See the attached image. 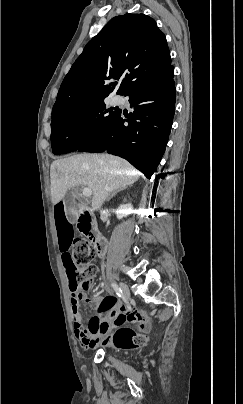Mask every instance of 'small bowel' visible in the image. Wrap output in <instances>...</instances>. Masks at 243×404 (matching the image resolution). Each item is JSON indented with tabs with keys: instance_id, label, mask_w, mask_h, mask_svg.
Instances as JSON below:
<instances>
[{
	"instance_id": "c3829d8e",
	"label": "small bowel",
	"mask_w": 243,
	"mask_h": 404,
	"mask_svg": "<svg viewBox=\"0 0 243 404\" xmlns=\"http://www.w3.org/2000/svg\"><path fill=\"white\" fill-rule=\"evenodd\" d=\"M54 221L62 263L68 276L71 291L70 302L74 332L81 345L86 349H94L99 345H105L109 341L113 327L119 328L127 324H137L141 330L145 331L147 324L139 313L126 307L114 309L117 303L114 296H96L87 299L83 292L78 291L79 287L75 282L72 255L70 253L73 241V226L67 215L66 206L62 201L57 202L54 206ZM82 301L89 302L96 311V315L90 319L87 327L83 325L82 317L79 313V303ZM107 311H111V314L109 319L104 321L102 316Z\"/></svg>"
}]
</instances>
